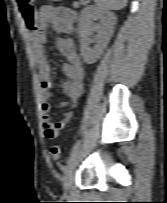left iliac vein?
I'll return each mask as SVG.
<instances>
[{
	"mask_svg": "<svg viewBox=\"0 0 167 203\" xmlns=\"http://www.w3.org/2000/svg\"><path fill=\"white\" fill-rule=\"evenodd\" d=\"M81 155V149H78L77 152L71 157L67 166L65 167V176H64V189L65 191H69L72 181H73V172L79 162V158Z\"/></svg>",
	"mask_w": 167,
	"mask_h": 203,
	"instance_id": "1",
	"label": "left iliac vein"
}]
</instances>
